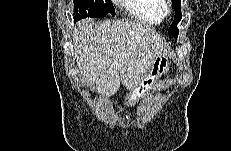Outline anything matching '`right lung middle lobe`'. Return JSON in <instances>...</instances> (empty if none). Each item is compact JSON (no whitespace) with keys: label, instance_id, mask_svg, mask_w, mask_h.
<instances>
[{"label":"right lung middle lobe","instance_id":"right-lung-middle-lobe-1","mask_svg":"<svg viewBox=\"0 0 231 151\" xmlns=\"http://www.w3.org/2000/svg\"><path fill=\"white\" fill-rule=\"evenodd\" d=\"M75 20L82 18H104L108 14L115 15L111 0H74Z\"/></svg>","mask_w":231,"mask_h":151}]
</instances>
